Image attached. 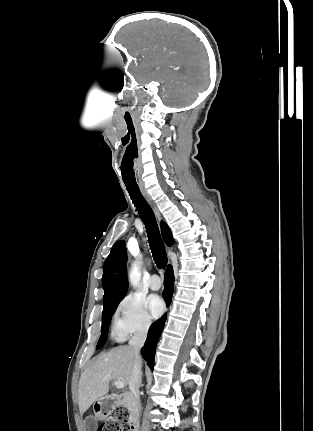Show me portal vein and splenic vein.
I'll return each mask as SVG.
<instances>
[{"mask_svg":"<svg viewBox=\"0 0 313 431\" xmlns=\"http://www.w3.org/2000/svg\"><path fill=\"white\" fill-rule=\"evenodd\" d=\"M115 387L117 388V389H123L124 388V386H125V384L122 382V381H115Z\"/></svg>","mask_w":313,"mask_h":431,"instance_id":"18ae733b","label":"portal vein and splenic vein"}]
</instances>
